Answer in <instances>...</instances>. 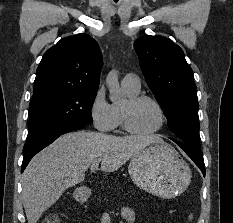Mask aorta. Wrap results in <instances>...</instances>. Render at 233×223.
Here are the masks:
<instances>
[{
  "instance_id": "aorta-1",
  "label": "aorta",
  "mask_w": 233,
  "mask_h": 223,
  "mask_svg": "<svg viewBox=\"0 0 233 223\" xmlns=\"http://www.w3.org/2000/svg\"><path fill=\"white\" fill-rule=\"evenodd\" d=\"M107 88L110 94V100L113 104L124 102V96L118 82V72L111 70L106 78Z\"/></svg>"
}]
</instances>
